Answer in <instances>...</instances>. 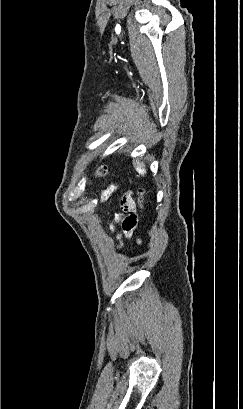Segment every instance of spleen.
I'll use <instances>...</instances> for the list:
<instances>
[{
  "instance_id": "spleen-1",
  "label": "spleen",
  "mask_w": 243,
  "mask_h": 409,
  "mask_svg": "<svg viewBox=\"0 0 243 409\" xmlns=\"http://www.w3.org/2000/svg\"><path fill=\"white\" fill-rule=\"evenodd\" d=\"M135 168H136V171L142 176H144V174L146 173L145 165L138 161H136L135 163Z\"/></svg>"
}]
</instances>
